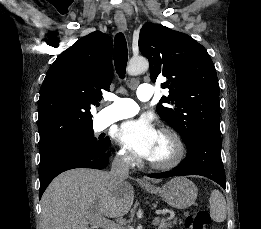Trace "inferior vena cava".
<instances>
[{"instance_id":"obj_1","label":"inferior vena cava","mask_w":261,"mask_h":229,"mask_svg":"<svg viewBox=\"0 0 261 229\" xmlns=\"http://www.w3.org/2000/svg\"><path fill=\"white\" fill-rule=\"evenodd\" d=\"M130 165V159L125 157V155H118V157H115L109 173L110 177H113L115 185H119V183H123L125 179H128Z\"/></svg>"}]
</instances>
